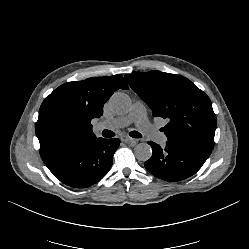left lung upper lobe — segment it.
I'll use <instances>...</instances> for the list:
<instances>
[{
    "mask_svg": "<svg viewBox=\"0 0 249 249\" xmlns=\"http://www.w3.org/2000/svg\"><path fill=\"white\" fill-rule=\"evenodd\" d=\"M125 79L154 117L169 120L161 129L168 141L213 149L216 115L209 97L194 83L181 75L160 71L125 75Z\"/></svg>",
    "mask_w": 249,
    "mask_h": 249,
    "instance_id": "left-lung-upper-lobe-1",
    "label": "left lung upper lobe"
}]
</instances>
